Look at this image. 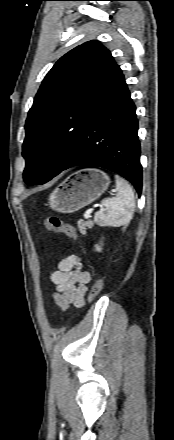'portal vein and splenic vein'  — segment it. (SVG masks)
Masks as SVG:
<instances>
[{
	"instance_id": "18ae733b",
	"label": "portal vein and splenic vein",
	"mask_w": 174,
	"mask_h": 440,
	"mask_svg": "<svg viewBox=\"0 0 174 440\" xmlns=\"http://www.w3.org/2000/svg\"><path fill=\"white\" fill-rule=\"evenodd\" d=\"M93 208H91V209H88L87 211H86V213L84 214V217H85V219H88V218H90L91 217V213L93 212Z\"/></svg>"
}]
</instances>
